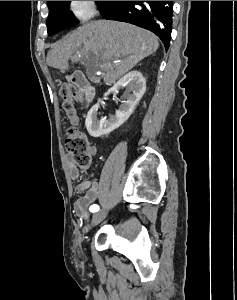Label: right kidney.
<instances>
[{"mask_svg": "<svg viewBox=\"0 0 237 300\" xmlns=\"http://www.w3.org/2000/svg\"><path fill=\"white\" fill-rule=\"evenodd\" d=\"M119 89H126V91H130L131 95L125 97L126 101H122V105L115 111V115H109V119L101 117L99 121V103L91 107L90 111H88L85 125L91 137L109 135L111 131L118 129L120 125H123L124 121L129 119L146 91V79H144L142 73H139V71H130V73L122 77L120 81H117L114 87L108 89L104 95L105 99L108 95H111V93H118Z\"/></svg>", "mask_w": 237, "mask_h": 300, "instance_id": "obj_1", "label": "right kidney"}]
</instances>
